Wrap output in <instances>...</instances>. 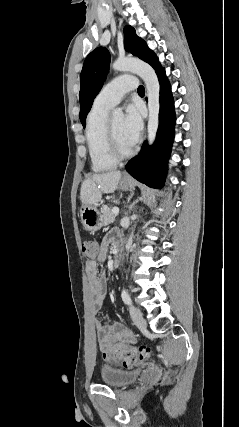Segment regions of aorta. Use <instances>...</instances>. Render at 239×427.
<instances>
[{"mask_svg":"<svg viewBox=\"0 0 239 427\" xmlns=\"http://www.w3.org/2000/svg\"><path fill=\"white\" fill-rule=\"evenodd\" d=\"M115 71H130L140 76L145 82L147 97H148V143L151 145L155 141L156 133L159 126V111H160V85L158 77L154 69L147 63L134 58L118 59L112 64ZM123 115L121 108H116L113 111L114 118H121ZM133 242V232L131 233L126 250H129Z\"/></svg>","mask_w":239,"mask_h":427,"instance_id":"obj_1","label":"aorta"}]
</instances>
